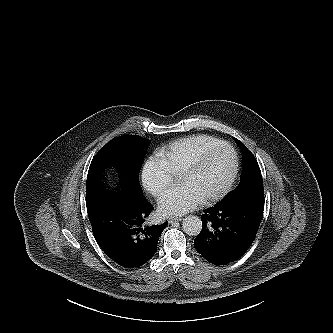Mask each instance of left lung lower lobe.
<instances>
[{
	"label": "left lung lower lobe",
	"instance_id": "0a47b994",
	"mask_svg": "<svg viewBox=\"0 0 333 333\" xmlns=\"http://www.w3.org/2000/svg\"><path fill=\"white\" fill-rule=\"evenodd\" d=\"M264 203L263 186H253L205 209L202 230L194 240L196 251L217 266L238 260L256 237Z\"/></svg>",
	"mask_w": 333,
	"mask_h": 333
}]
</instances>
